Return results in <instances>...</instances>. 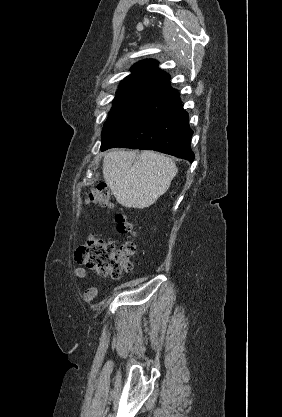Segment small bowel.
<instances>
[{"label":"small bowel","instance_id":"1","mask_svg":"<svg viewBox=\"0 0 282 417\" xmlns=\"http://www.w3.org/2000/svg\"><path fill=\"white\" fill-rule=\"evenodd\" d=\"M73 275L74 277L81 279V280H85L89 278V275L87 273V271L82 268V267H76L73 269ZM98 294V286L97 284H94L92 286H89L88 288L85 289V291L83 292V300L87 303L92 302L95 297Z\"/></svg>","mask_w":282,"mask_h":417}]
</instances>
